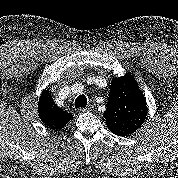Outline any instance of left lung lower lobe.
<instances>
[{
	"mask_svg": "<svg viewBox=\"0 0 178 178\" xmlns=\"http://www.w3.org/2000/svg\"><path fill=\"white\" fill-rule=\"evenodd\" d=\"M110 131L118 136H127L129 135L128 133L126 132H123L121 130H117V129H110Z\"/></svg>",
	"mask_w": 178,
	"mask_h": 178,
	"instance_id": "obj_1",
	"label": "left lung lower lobe"
}]
</instances>
